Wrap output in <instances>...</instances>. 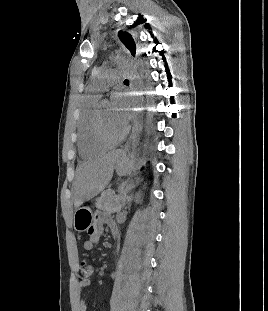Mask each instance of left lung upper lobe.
Returning <instances> with one entry per match:
<instances>
[{
  "label": "left lung upper lobe",
  "mask_w": 268,
  "mask_h": 311,
  "mask_svg": "<svg viewBox=\"0 0 268 311\" xmlns=\"http://www.w3.org/2000/svg\"><path fill=\"white\" fill-rule=\"evenodd\" d=\"M118 36L121 42L126 46V48L130 51V53L135 56L136 54V44L132 38V36L123 31H119Z\"/></svg>",
  "instance_id": "obj_1"
}]
</instances>
